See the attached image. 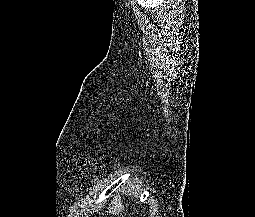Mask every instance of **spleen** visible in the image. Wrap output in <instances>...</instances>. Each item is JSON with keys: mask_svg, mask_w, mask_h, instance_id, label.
I'll return each instance as SVG.
<instances>
[{"mask_svg": "<svg viewBox=\"0 0 255 217\" xmlns=\"http://www.w3.org/2000/svg\"><path fill=\"white\" fill-rule=\"evenodd\" d=\"M129 191H130V189H129ZM134 195H135V196H137V195H138L136 191L134 192Z\"/></svg>", "mask_w": 255, "mask_h": 217, "instance_id": "spleen-1", "label": "spleen"}]
</instances>
